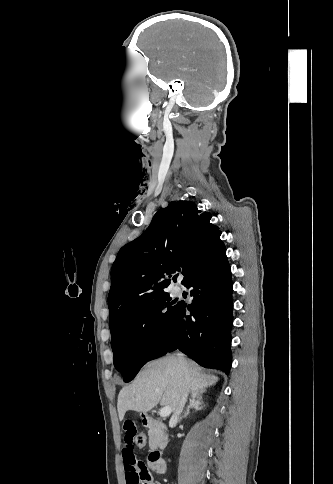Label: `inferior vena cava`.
Wrapping results in <instances>:
<instances>
[{
	"mask_svg": "<svg viewBox=\"0 0 333 484\" xmlns=\"http://www.w3.org/2000/svg\"><path fill=\"white\" fill-rule=\"evenodd\" d=\"M177 356H178L179 363H180L182 369L184 370V380H185V383L187 384L189 382V379H190L189 374H188V370H187V364H188L187 360L183 356V354H181V353H178ZM187 395H188V393H187V389H186L182 394V398H181L179 407L174 411V414L172 415V417L170 419V423H177L178 422L179 415L181 414L183 407L186 403Z\"/></svg>",
	"mask_w": 333,
	"mask_h": 484,
	"instance_id": "obj_1",
	"label": "inferior vena cava"
}]
</instances>
